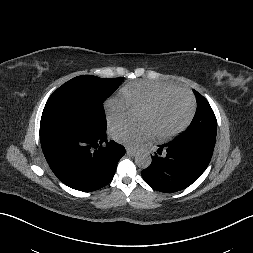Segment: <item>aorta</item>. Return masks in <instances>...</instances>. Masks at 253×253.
Wrapping results in <instances>:
<instances>
[{"label": "aorta", "instance_id": "1", "mask_svg": "<svg viewBox=\"0 0 253 253\" xmlns=\"http://www.w3.org/2000/svg\"><path fill=\"white\" fill-rule=\"evenodd\" d=\"M130 119H133L135 117V114L133 112L129 113ZM152 161L151 155L146 150H140L135 155V163L139 168L146 169L150 166Z\"/></svg>", "mask_w": 253, "mask_h": 253}]
</instances>
